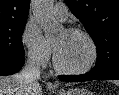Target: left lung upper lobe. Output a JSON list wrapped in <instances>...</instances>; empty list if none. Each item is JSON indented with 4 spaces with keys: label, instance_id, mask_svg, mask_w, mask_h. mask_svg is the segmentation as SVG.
Listing matches in <instances>:
<instances>
[{
    "label": "left lung upper lobe",
    "instance_id": "5c2ea615",
    "mask_svg": "<svg viewBox=\"0 0 119 95\" xmlns=\"http://www.w3.org/2000/svg\"><path fill=\"white\" fill-rule=\"evenodd\" d=\"M97 47L93 68L106 72L119 65V0H65Z\"/></svg>",
    "mask_w": 119,
    "mask_h": 95
}]
</instances>
